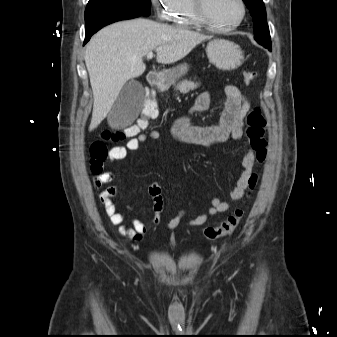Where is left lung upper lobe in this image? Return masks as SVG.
I'll use <instances>...</instances> for the list:
<instances>
[{"label": "left lung upper lobe", "mask_w": 337, "mask_h": 337, "mask_svg": "<svg viewBox=\"0 0 337 337\" xmlns=\"http://www.w3.org/2000/svg\"><path fill=\"white\" fill-rule=\"evenodd\" d=\"M249 8L254 22V39L271 50L270 33L266 19L265 6L262 0H243Z\"/></svg>", "instance_id": "left-lung-upper-lobe-1"}]
</instances>
